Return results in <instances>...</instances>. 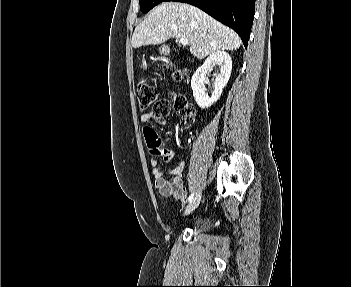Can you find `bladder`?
Returning a JSON list of instances; mask_svg holds the SVG:
<instances>
[{
    "mask_svg": "<svg viewBox=\"0 0 351 287\" xmlns=\"http://www.w3.org/2000/svg\"><path fill=\"white\" fill-rule=\"evenodd\" d=\"M210 223L206 218H197L194 221L192 229L197 232L205 233L210 230Z\"/></svg>",
    "mask_w": 351,
    "mask_h": 287,
    "instance_id": "bladder-1",
    "label": "bladder"
}]
</instances>
